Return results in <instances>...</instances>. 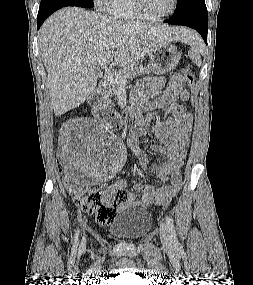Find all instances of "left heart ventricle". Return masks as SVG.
I'll list each match as a JSON object with an SVG mask.
<instances>
[{"label":"left heart ventricle","instance_id":"1","mask_svg":"<svg viewBox=\"0 0 253 285\" xmlns=\"http://www.w3.org/2000/svg\"><path fill=\"white\" fill-rule=\"evenodd\" d=\"M172 1L173 0H142V6L146 14L159 16L170 10Z\"/></svg>","mask_w":253,"mask_h":285}]
</instances>
